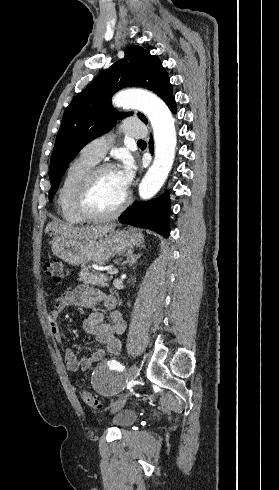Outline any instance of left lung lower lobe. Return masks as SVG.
Returning <instances> with one entry per match:
<instances>
[{"instance_id":"obj_1","label":"left lung lower lobe","mask_w":279,"mask_h":490,"mask_svg":"<svg viewBox=\"0 0 279 490\" xmlns=\"http://www.w3.org/2000/svg\"><path fill=\"white\" fill-rule=\"evenodd\" d=\"M172 112H176V102L172 97L168 103ZM153 149L152 139L149 142ZM170 200L168 193L147 202H134L119 218V222L135 227L151 229L164 237L169 235Z\"/></svg>"}]
</instances>
